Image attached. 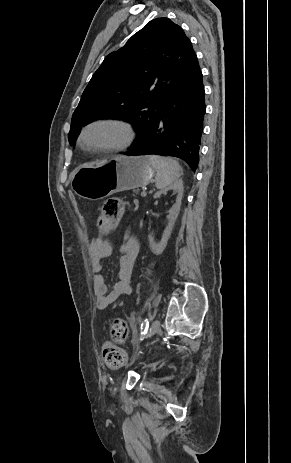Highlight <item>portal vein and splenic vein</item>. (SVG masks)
<instances>
[{
    "mask_svg": "<svg viewBox=\"0 0 291 463\" xmlns=\"http://www.w3.org/2000/svg\"><path fill=\"white\" fill-rule=\"evenodd\" d=\"M141 196L145 197V196H146V192L143 191V192L141 193Z\"/></svg>",
    "mask_w": 291,
    "mask_h": 463,
    "instance_id": "portal-vein-and-splenic-vein-1",
    "label": "portal vein and splenic vein"
}]
</instances>
